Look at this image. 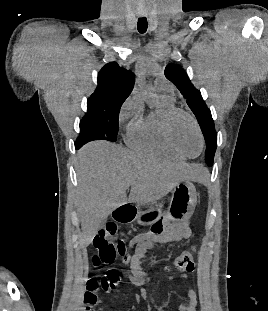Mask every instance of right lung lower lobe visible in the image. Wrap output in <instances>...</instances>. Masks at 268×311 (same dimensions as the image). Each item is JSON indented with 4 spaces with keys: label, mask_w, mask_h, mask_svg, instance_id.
I'll return each mask as SVG.
<instances>
[{
    "label": "right lung lower lobe",
    "mask_w": 268,
    "mask_h": 311,
    "mask_svg": "<svg viewBox=\"0 0 268 311\" xmlns=\"http://www.w3.org/2000/svg\"><path fill=\"white\" fill-rule=\"evenodd\" d=\"M80 147H81L80 144H75V148H76V149H78V148H80Z\"/></svg>",
    "instance_id": "98d812e1"
}]
</instances>
